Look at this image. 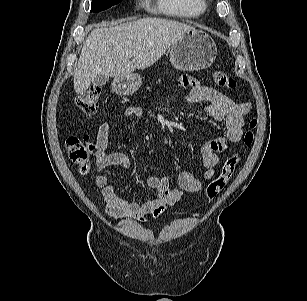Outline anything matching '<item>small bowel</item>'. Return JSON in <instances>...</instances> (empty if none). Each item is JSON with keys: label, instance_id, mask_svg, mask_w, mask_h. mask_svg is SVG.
<instances>
[{"label": "small bowel", "instance_id": "small-bowel-1", "mask_svg": "<svg viewBox=\"0 0 307 301\" xmlns=\"http://www.w3.org/2000/svg\"><path fill=\"white\" fill-rule=\"evenodd\" d=\"M181 83L190 86L187 101L193 105H203L205 112L217 122L225 126L222 137L206 143L201 149L204 173L202 179H198L191 172H183L179 177V187L171 188L170 182L165 176H152L148 178L147 185L156 190V198L143 203L132 202L124 199L117 189L108 184V176L103 171L112 166L130 168L131 161L123 152L107 153L109 132L112 126L111 120L103 121L96 134V168L98 175L95 178L96 185L101 189L104 198L106 213L113 218H126L144 222L147 215L153 219L158 218L167 207L175 205L183 194L196 193L201 189L203 181L210 180L219 161V154L227 147L238 143L243 135V121L251 109L247 102H235L227 95L209 86L200 85L188 78H182ZM124 115L128 117H140L142 111L139 107L129 106L125 108Z\"/></svg>", "mask_w": 307, "mask_h": 301}]
</instances>
